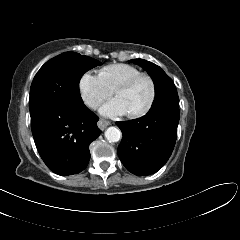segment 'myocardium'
I'll return each mask as SVG.
<instances>
[{
    "label": "myocardium",
    "mask_w": 240,
    "mask_h": 240,
    "mask_svg": "<svg viewBox=\"0 0 240 240\" xmlns=\"http://www.w3.org/2000/svg\"><path fill=\"white\" fill-rule=\"evenodd\" d=\"M141 79H147L148 82L150 83L151 95H150V98H149L147 104L145 105V107H143L139 111L130 112V116H132V117H142L151 110V108L154 104L155 98H156V85H155L153 78L148 74L141 73L139 75H136V76L124 81L123 83L118 85L117 88L114 90L115 94L117 95L120 91L131 88L135 83H137Z\"/></svg>",
    "instance_id": "obj_1"
}]
</instances>
